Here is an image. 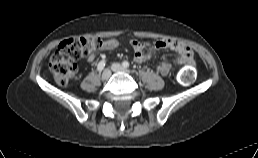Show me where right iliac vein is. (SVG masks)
Here are the masks:
<instances>
[{
  "instance_id": "obj_1",
  "label": "right iliac vein",
  "mask_w": 258,
  "mask_h": 158,
  "mask_svg": "<svg viewBox=\"0 0 258 158\" xmlns=\"http://www.w3.org/2000/svg\"><path fill=\"white\" fill-rule=\"evenodd\" d=\"M110 76H111L110 69H105L104 72L102 73L101 78L103 81H107L110 78Z\"/></svg>"
}]
</instances>
